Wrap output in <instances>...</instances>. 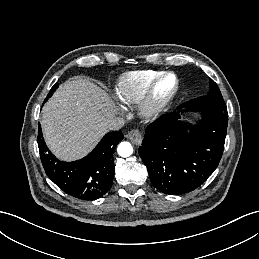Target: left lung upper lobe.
I'll use <instances>...</instances> for the list:
<instances>
[{
  "instance_id": "5c2ea615",
  "label": "left lung upper lobe",
  "mask_w": 259,
  "mask_h": 259,
  "mask_svg": "<svg viewBox=\"0 0 259 259\" xmlns=\"http://www.w3.org/2000/svg\"><path fill=\"white\" fill-rule=\"evenodd\" d=\"M209 83H210L209 93L197 99L190 100L189 102H187V105H193V104L224 105L225 102L217 84L212 79H210Z\"/></svg>"
}]
</instances>
